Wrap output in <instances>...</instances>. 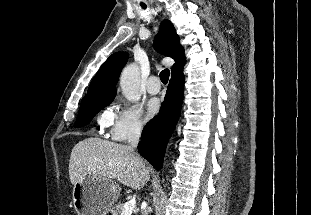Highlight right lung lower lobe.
Instances as JSON below:
<instances>
[{
	"label": "right lung lower lobe",
	"mask_w": 311,
	"mask_h": 215,
	"mask_svg": "<svg viewBox=\"0 0 311 215\" xmlns=\"http://www.w3.org/2000/svg\"><path fill=\"white\" fill-rule=\"evenodd\" d=\"M183 71L174 73L160 112L143 129L139 153L155 168H162L165 148L180 116L183 101Z\"/></svg>",
	"instance_id": "obj_1"
}]
</instances>
